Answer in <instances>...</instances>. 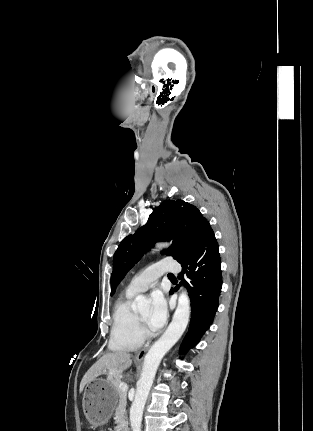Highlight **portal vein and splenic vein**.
Listing matches in <instances>:
<instances>
[{"label": "portal vein and splenic vein", "instance_id": "portal-vein-and-splenic-vein-1", "mask_svg": "<svg viewBox=\"0 0 313 431\" xmlns=\"http://www.w3.org/2000/svg\"><path fill=\"white\" fill-rule=\"evenodd\" d=\"M119 388H120L123 392H125V391H127V389H128V385H127L125 382H121V383L119 384Z\"/></svg>", "mask_w": 313, "mask_h": 431}]
</instances>
